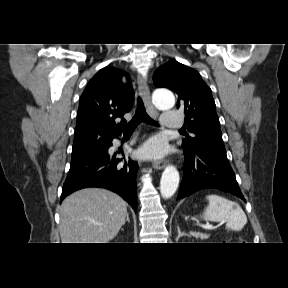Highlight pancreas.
<instances>
[{
    "label": "pancreas",
    "mask_w": 288,
    "mask_h": 288,
    "mask_svg": "<svg viewBox=\"0 0 288 288\" xmlns=\"http://www.w3.org/2000/svg\"><path fill=\"white\" fill-rule=\"evenodd\" d=\"M192 235L196 238H200V239H207L209 237L208 234H203L200 232H192Z\"/></svg>",
    "instance_id": "cf45deb5"
}]
</instances>
